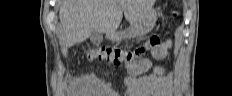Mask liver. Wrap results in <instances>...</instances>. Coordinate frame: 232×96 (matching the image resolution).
I'll list each match as a JSON object with an SVG mask.
<instances>
[{
	"label": "liver",
	"instance_id": "6515ba94",
	"mask_svg": "<svg viewBox=\"0 0 232 96\" xmlns=\"http://www.w3.org/2000/svg\"><path fill=\"white\" fill-rule=\"evenodd\" d=\"M59 17L63 43L70 47L85 41L92 30L106 35L118 29L123 13L135 25L147 14L154 0H61Z\"/></svg>",
	"mask_w": 232,
	"mask_h": 96
}]
</instances>
